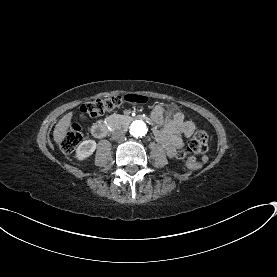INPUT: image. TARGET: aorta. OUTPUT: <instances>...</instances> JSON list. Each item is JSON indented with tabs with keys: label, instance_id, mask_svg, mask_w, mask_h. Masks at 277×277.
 <instances>
[{
	"label": "aorta",
	"instance_id": "762f6f07",
	"mask_svg": "<svg viewBox=\"0 0 277 277\" xmlns=\"http://www.w3.org/2000/svg\"><path fill=\"white\" fill-rule=\"evenodd\" d=\"M147 131V125L143 121H135L130 125V134L136 138L145 136Z\"/></svg>",
	"mask_w": 277,
	"mask_h": 277
}]
</instances>
